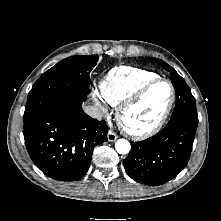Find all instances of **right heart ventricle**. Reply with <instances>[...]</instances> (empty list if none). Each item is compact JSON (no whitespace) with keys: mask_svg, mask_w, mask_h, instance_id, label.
Instances as JSON below:
<instances>
[{"mask_svg":"<svg viewBox=\"0 0 221 221\" xmlns=\"http://www.w3.org/2000/svg\"><path fill=\"white\" fill-rule=\"evenodd\" d=\"M157 77L156 73L146 69L131 66L115 67L100 82L101 97L110 105L117 106Z\"/></svg>","mask_w":221,"mask_h":221,"instance_id":"right-heart-ventricle-1","label":"right heart ventricle"}]
</instances>
